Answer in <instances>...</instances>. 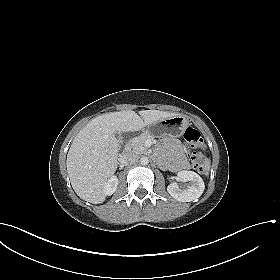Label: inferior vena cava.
I'll use <instances>...</instances> for the list:
<instances>
[{"label": "inferior vena cava", "instance_id": "inferior-vena-cava-1", "mask_svg": "<svg viewBox=\"0 0 280 280\" xmlns=\"http://www.w3.org/2000/svg\"><path fill=\"white\" fill-rule=\"evenodd\" d=\"M139 157L138 155L134 154V153H126L122 156L121 161L124 164H134L136 162H138Z\"/></svg>", "mask_w": 280, "mask_h": 280}]
</instances>
